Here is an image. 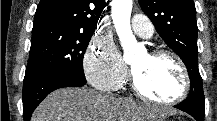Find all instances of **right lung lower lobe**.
I'll return each instance as SVG.
<instances>
[{"mask_svg":"<svg viewBox=\"0 0 217 121\" xmlns=\"http://www.w3.org/2000/svg\"><path fill=\"white\" fill-rule=\"evenodd\" d=\"M85 78H80L64 70H49L24 78L23 117L29 121L35 108L52 91L71 86H83Z\"/></svg>","mask_w":217,"mask_h":121,"instance_id":"obj_1","label":"right lung lower lobe"}]
</instances>
